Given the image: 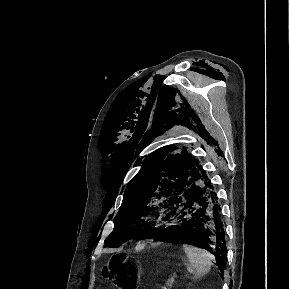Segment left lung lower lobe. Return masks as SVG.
Wrapping results in <instances>:
<instances>
[{
    "label": "left lung lower lobe",
    "mask_w": 289,
    "mask_h": 289,
    "mask_svg": "<svg viewBox=\"0 0 289 289\" xmlns=\"http://www.w3.org/2000/svg\"><path fill=\"white\" fill-rule=\"evenodd\" d=\"M164 223L143 239L164 236L192 238L194 245L211 252L223 273L226 265L224 228L220 218V205L210 179L186 186L170 202Z\"/></svg>",
    "instance_id": "0a47b994"
}]
</instances>
